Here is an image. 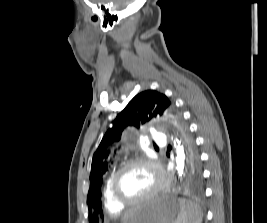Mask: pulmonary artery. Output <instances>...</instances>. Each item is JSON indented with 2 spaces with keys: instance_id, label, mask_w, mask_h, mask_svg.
Wrapping results in <instances>:
<instances>
[{
  "instance_id": "1",
  "label": "pulmonary artery",
  "mask_w": 267,
  "mask_h": 223,
  "mask_svg": "<svg viewBox=\"0 0 267 223\" xmlns=\"http://www.w3.org/2000/svg\"><path fill=\"white\" fill-rule=\"evenodd\" d=\"M154 140H155V142H156L157 145L163 146L164 141L161 138L155 137Z\"/></svg>"
}]
</instances>
